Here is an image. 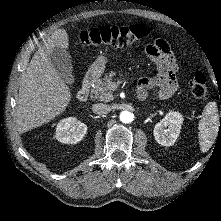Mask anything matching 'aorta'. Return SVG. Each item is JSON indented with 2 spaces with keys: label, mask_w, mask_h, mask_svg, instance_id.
Returning a JSON list of instances; mask_svg holds the SVG:
<instances>
[{
  "label": "aorta",
  "mask_w": 221,
  "mask_h": 221,
  "mask_svg": "<svg viewBox=\"0 0 221 221\" xmlns=\"http://www.w3.org/2000/svg\"><path fill=\"white\" fill-rule=\"evenodd\" d=\"M133 114L129 111H122L120 113V121L123 122V123H130L133 121Z\"/></svg>",
  "instance_id": "762f6f07"
}]
</instances>
